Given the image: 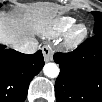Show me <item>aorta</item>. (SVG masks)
Instances as JSON below:
<instances>
[{"label": "aorta", "mask_w": 102, "mask_h": 102, "mask_svg": "<svg viewBox=\"0 0 102 102\" xmlns=\"http://www.w3.org/2000/svg\"><path fill=\"white\" fill-rule=\"evenodd\" d=\"M43 72L49 78H56L59 74V68L55 63H47L43 67Z\"/></svg>", "instance_id": "762f6f07"}]
</instances>
